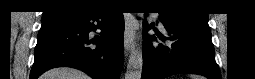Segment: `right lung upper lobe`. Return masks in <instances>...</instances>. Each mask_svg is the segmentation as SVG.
I'll use <instances>...</instances> for the list:
<instances>
[{
	"label": "right lung upper lobe",
	"instance_id": "obj_1",
	"mask_svg": "<svg viewBox=\"0 0 255 79\" xmlns=\"http://www.w3.org/2000/svg\"><path fill=\"white\" fill-rule=\"evenodd\" d=\"M99 6L92 3H86L79 0H53L48 4L47 10L42 18L56 16L60 14L85 13L96 10Z\"/></svg>",
	"mask_w": 255,
	"mask_h": 79
}]
</instances>
